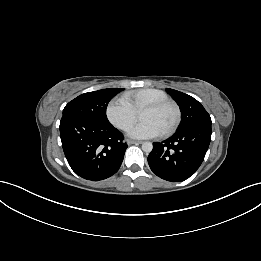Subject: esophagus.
<instances>
[{"instance_id": "1", "label": "esophagus", "mask_w": 261, "mask_h": 261, "mask_svg": "<svg viewBox=\"0 0 261 261\" xmlns=\"http://www.w3.org/2000/svg\"><path fill=\"white\" fill-rule=\"evenodd\" d=\"M126 142H127V144L128 145H132V144H141L142 143V141H136V140H131V139H127L126 140Z\"/></svg>"}]
</instances>
